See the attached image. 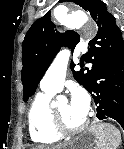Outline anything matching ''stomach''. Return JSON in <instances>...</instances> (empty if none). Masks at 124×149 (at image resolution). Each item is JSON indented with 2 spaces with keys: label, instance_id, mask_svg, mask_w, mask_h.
I'll list each match as a JSON object with an SVG mask.
<instances>
[{
  "label": "stomach",
  "instance_id": "0dacf381",
  "mask_svg": "<svg viewBox=\"0 0 124 149\" xmlns=\"http://www.w3.org/2000/svg\"><path fill=\"white\" fill-rule=\"evenodd\" d=\"M96 126L77 136L72 142L71 147L68 149H92L91 147L98 142L95 129ZM118 138L120 139L121 137Z\"/></svg>",
  "mask_w": 124,
  "mask_h": 149
}]
</instances>
